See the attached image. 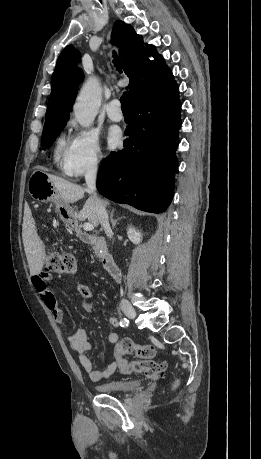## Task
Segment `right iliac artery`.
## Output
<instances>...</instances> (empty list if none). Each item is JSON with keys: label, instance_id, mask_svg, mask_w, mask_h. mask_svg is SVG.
<instances>
[{"label": "right iliac artery", "instance_id": "82829eb1", "mask_svg": "<svg viewBox=\"0 0 261 459\" xmlns=\"http://www.w3.org/2000/svg\"><path fill=\"white\" fill-rule=\"evenodd\" d=\"M128 325H129L128 319L122 318V319L120 320V326H121V327H127Z\"/></svg>", "mask_w": 261, "mask_h": 459}]
</instances>
